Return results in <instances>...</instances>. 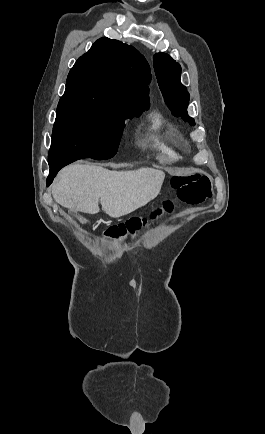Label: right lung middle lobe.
<instances>
[{"label":"right lung middle lobe","instance_id":"1","mask_svg":"<svg viewBox=\"0 0 265 434\" xmlns=\"http://www.w3.org/2000/svg\"><path fill=\"white\" fill-rule=\"evenodd\" d=\"M146 107L90 86L66 87L56 112L49 165L82 158L108 159L117 152L125 121Z\"/></svg>","mask_w":265,"mask_h":434}]
</instances>
